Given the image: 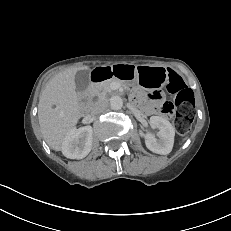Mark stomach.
<instances>
[{
	"instance_id": "stomach-1",
	"label": "stomach",
	"mask_w": 231,
	"mask_h": 231,
	"mask_svg": "<svg viewBox=\"0 0 231 231\" xmlns=\"http://www.w3.org/2000/svg\"><path fill=\"white\" fill-rule=\"evenodd\" d=\"M117 76L127 83L139 82L149 89L162 88L167 79V71L163 67L133 64H116L113 67Z\"/></svg>"
}]
</instances>
